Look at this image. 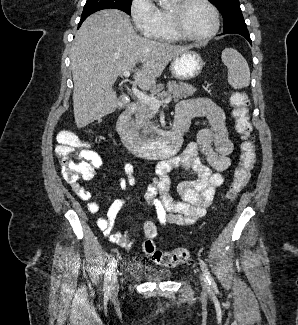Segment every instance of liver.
I'll list each match as a JSON object with an SVG mask.
<instances>
[{"instance_id":"liver-1","label":"liver","mask_w":298,"mask_h":325,"mask_svg":"<svg viewBox=\"0 0 298 325\" xmlns=\"http://www.w3.org/2000/svg\"><path fill=\"white\" fill-rule=\"evenodd\" d=\"M190 48L140 36L128 14L117 8L90 14L71 46L76 126L82 128L114 112L118 98L113 84L123 72H134L141 88H154L170 60ZM137 62H142L140 68H136Z\"/></svg>"}]
</instances>
